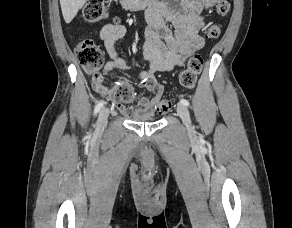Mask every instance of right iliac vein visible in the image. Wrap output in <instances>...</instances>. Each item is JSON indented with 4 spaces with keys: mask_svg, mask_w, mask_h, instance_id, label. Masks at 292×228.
Wrapping results in <instances>:
<instances>
[{
    "mask_svg": "<svg viewBox=\"0 0 292 228\" xmlns=\"http://www.w3.org/2000/svg\"><path fill=\"white\" fill-rule=\"evenodd\" d=\"M109 117V109L103 108L98 115V119L96 122V134L101 135L107 125Z\"/></svg>",
    "mask_w": 292,
    "mask_h": 228,
    "instance_id": "obj_1",
    "label": "right iliac vein"
}]
</instances>
